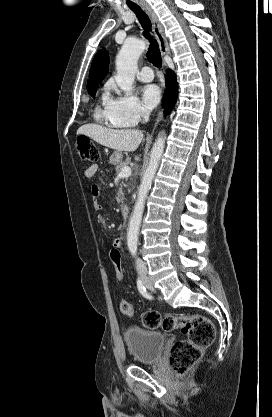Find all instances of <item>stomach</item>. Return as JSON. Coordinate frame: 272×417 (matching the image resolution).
<instances>
[{"label": "stomach", "mask_w": 272, "mask_h": 417, "mask_svg": "<svg viewBox=\"0 0 272 417\" xmlns=\"http://www.w3.org/2000/svg\"><path fill=\"white\" fill-rule=\"evenodd\" d=\"M122 158H123L122 152L116 150L110 156V163L113 164V165H118L119 163H121Z\"/></svg>", "instance_id": "obj_1"}]
</instances>
